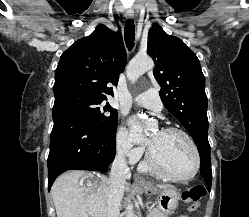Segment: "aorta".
<instances>
[{
  "mask_svg": "<svg viewBox=\"0 0 249 217\" xmlns=\"http://www.w3.org/2000/svg\"><path fill=\"white\" fill-rule=\"evenodd\" d=\"M154 62L148 57H135L132 59L127 67V77L130 81L135 82L141 75H143L146 71L153 69ZM146 126H151L150 122H145ZM126 217H135L133 211V205H128V211L126 213Z\"/></svg>",
  "mask_w": 249,
  "mask_h": 217,
  "instance_id": "1",
  "label": "aorta"
}]
</instances>
